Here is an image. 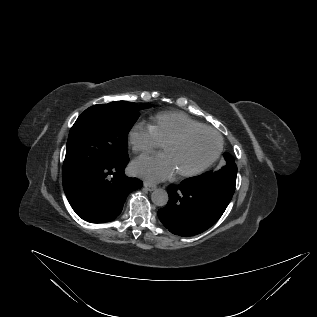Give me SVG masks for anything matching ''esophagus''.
<instances>
[{
    "mask_svg": "<svg viewBox=\"0 0 317 317\" xmlns=\"http://www.w3.org/2000/svg\"><path fill=\"white\" fill-rule=\"evenodd\" d=\"M144 187H145V189L148 190V191H153V190L156 189V185L151 184V183H149V182H145V183H144Z\"/></svg>",
    "mask_w": 317,
    "mask_h": 317,
    "instance_id": "1",
    "label": "esophagus"
}]
</instances>
